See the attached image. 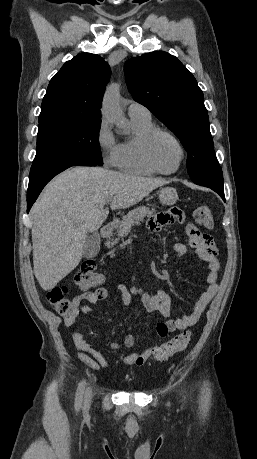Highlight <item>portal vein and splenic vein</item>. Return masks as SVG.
<instances>
[{
  "mask_svg": "<svg viewBox=\"0 0 257 459\" xmlns=\"http://www.w3.org/2000/svg\"><path fill=\"white\" fill-rule=\"evenodd\" d=\"M111 201H112V199L109 198V199L106 200L105 204H109Z\"/></svg>",
  "mask_w": 257,
  "mask_h": 459,
  "instance_id": "portal-vein-and-splenic-vein-1",
  "label": "portal vein and splenic vein"
}]
</instances>
